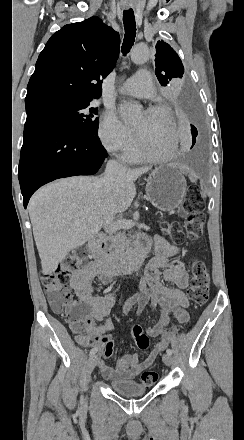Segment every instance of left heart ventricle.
<instances>
[{
  "mask_svg": "<svg viewBox=\"0 0 244 440\" xmlns=\"http://www.w3.org/2000/svg\"><path fill=\"white\" fill-rule=\"evenodd\" d=\"M170 123V117L167 112L157 110H148L141 112L135 122V126L144 134L146 145H159L162 142L166 144V135L164 130Z\"/></svg>",
  "mask_w": 244,
  "mask_h": 440,
  "instance_id": "obj_1",
  "label": "left heart ventricle"
}]
</instances>
